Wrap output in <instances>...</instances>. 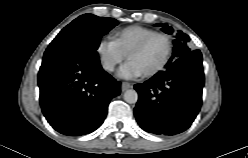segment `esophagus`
I'll use <instances>...</instances> for the list:
<instances>
[{
  "label": "esophagus",
  "mask_w": 248,
  "mask_h": 158,
  "mask_svg": "<svg viewBox=\"0 0 248 158\" xmlns=\"http://www.w3.org/2000/svg\"><path fill=\"white\" fill-rule=\"evenodd\" d=\"M131 87H132V85L128 82H122V84H121L122 91H126L127 89H129Z\"/></svg>",
  "instance_id": "obj_1"
}]
</instances>
